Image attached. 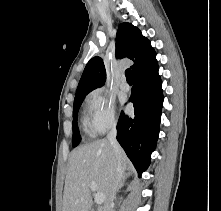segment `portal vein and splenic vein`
<instances>
[{
	"mask_svg": "<svg viewBox=\"0 0 221 211\" xmlns=\"http://www.w3.org/2000/svg\"><path fill=\"white\" fill-rule=\"evenodd\" d=\"M90 189H91L92 191H96V190H97V185H96L95 182H91V183H90ZM94 200H95V202H96L97 204H103L104 201H105V196H104L103 193L97 192V193L95 194Z\"/></svg>",
	"mask_w": 221,
	"mask_h": 211,
	"instance_id": "portal-vein-and-splenic-vein-1",
	"label": "portal vein and splenic vein"
}]
</instances>
